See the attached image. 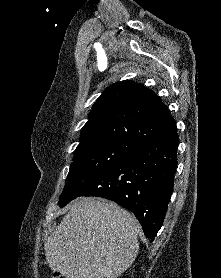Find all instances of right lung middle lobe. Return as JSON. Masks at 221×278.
Masks as SVG:
<instances>
[{
    "label": "right lung middle lobe",
    "instance_id": "obj_1",
    "mask_svg": "<svg viewBox=\"0 0 221 278\" xmlns=\"http://www.w3.org/2000/svg\"><path fill=\"white\" fill-rule=\"evenodd\" d=\"M132 143L119 140H96L76 148L59 204L64 207L101 174L127 155Z\"/></svg>",
    "mask_w": 221,
    "mask_h": 278
}]
</instances>
